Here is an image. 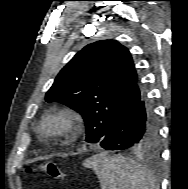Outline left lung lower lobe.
Wrapping results in <instances>:
<instances>
[{
	"instance_id": "1",
	"label": "left lung lower lobe",
	"mask_w": 188,
	"mask_h": 189,
	"mask_svg": "<svg viewBox=\"0 0 188 189\" xmlns=\"http://www.w3.org/2000/svg\"><path fill=\"white\" fill-rule=\"evenodd\" d=\"M157 139V122L150 102L142 94L99 142L108 150H135Z\"/></svg>"
}]
</instances>
